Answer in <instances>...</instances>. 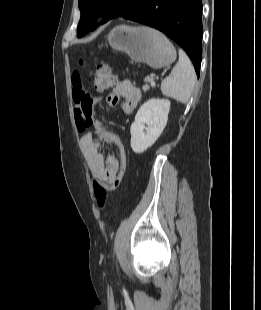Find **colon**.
Returning <instances> with one entry per match:
<instances>
[{
    "instance_id": "5ec220e1",
    "label": "colon",
    "mask_w": 261,
    "mask_h": 310,
    "mask_svg": "<svg viewBox=\"0 0 261 310\" xmlns=\"http://www.w3.org/2000/svg\"><path fill=\"white\" fill-rule=\"evenodd\" d=\"M114 83L115 78L108 66L100 65L97 67L93 73V87L97 92H105L109 90ZM114 147L119 161V170L115 179L109 183L100 180H95L93 183L96 201L100 207L104 206L108 191L115 190L120 185L126 169V152L123 144L120 141L115 140Z\"/></svg>"
}]
</instances>
